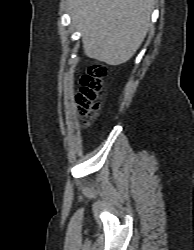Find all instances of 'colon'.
I'll use <instances>...</instances> for the list:
<instances>
[{
    "label": "colon",
    "mask_w": 194,
    "mask_h": 250,
    "mask_svg": "<svg viewBox=\"0 0 194 250\" xmlns=\"http://www.w3.org/2000/svg\"><path fill=\"white\" fill-rule=\"evenodd\" d=\"M107 68L101 64H92L80 78V91L76 96L77 108L82 117L93 119L100 107L103 80Z\"/></svg>",
    "instance_id": "1"
}]
</instances>
